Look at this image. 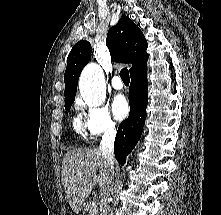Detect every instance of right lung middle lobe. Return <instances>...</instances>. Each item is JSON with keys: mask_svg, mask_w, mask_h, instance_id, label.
Returning a JSON list of instances; mask_svg holds the SVG:
<instances>
[{"mask_svg": "<svg viewBox=\"0 0 221 215\" xmlns=\"http://www.w3.org/2000/svg\"><path fill=\"white\" fill-rule=\"evenodd\" d=\"M74 100H71V101H66L65 102V109L67 111H70V108H71V105L73 104Z\"/></svg>", "mask_w": 221, "mask_h": 215, "instance_id": "right-lung-middle-lobe-1", "label": "right lung middle lobe"}]
</instances>
